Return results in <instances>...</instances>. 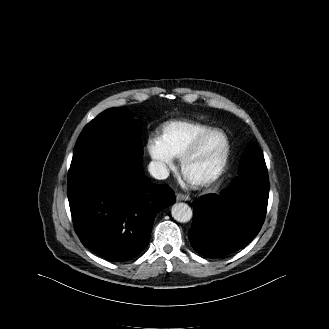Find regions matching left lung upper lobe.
Wrapping results in <instances>:
<instances>
[{
    "instance_id": "5c2ea615",
    "label": "left lung upper lobe",
    "mask_w": 329,
    "mask_h": 329,
    "mask_svg": "<svg viewBox=\"0 0 329 329\" xmlns=\"http://www.w3.org/2000/svg\"><path fill=\"white\" fill-rule=\"evenodd\" d=\"M266 167L263 152L259 147H254L249 150L242 162V170L246 167L259 168Z\"/></svg>"
}]
</instances>
